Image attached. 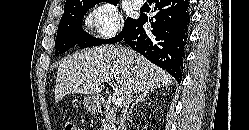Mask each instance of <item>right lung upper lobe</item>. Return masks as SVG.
Wrapping results in <instances>:
<instances>
[{
  "label": "right lung upper lobe",
  "instance_id": "right-lung-upper-lobe-1",
  "mask_svg": "<svg viewBox=\"0 0 249 130\" xmlns=\"http://www.w3.org/2000/svg\"><path fill=\"white\" fill-rule=\"evenodd\" d=\"M102 1L106 2H118L119 0H66L65 8H83L92 4H96ZM64 8V9H65Z\"/></svg>",
  "mask_w": 249,
  "mask_h": 130
}]
</instances>
